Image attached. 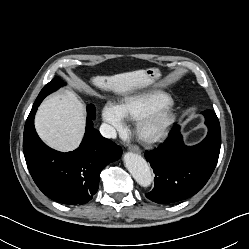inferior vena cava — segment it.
Returning <instances> with one entry per match:
<instances>
[{
    "label": "inferior vena cava",
    "instance_id": "602c4592",
    "mask_svg": "<svg viewBox=\"0 0 249 249\" xmlns=\"http://www.w3.org/2000/svg\"><path fill=\"white\" fill-rule=\"evenodd\" d=\"M100 133L105 138L115 139L117 136L116 130L109 124L102 123L100 126Z\"/></svg>",
    "mask_w": 249,
    "mask_h": 249
}]
</instances>
